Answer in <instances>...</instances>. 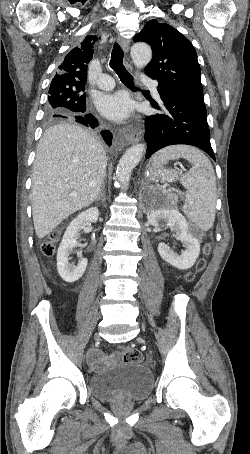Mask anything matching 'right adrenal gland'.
<instances>
[{
    "label": "right adrenal gland",
    "instance_id": "2a0ac1e0",
    "mask_svg": "<svg viewBox=\"0 0 250 454\" xmlns=\"http://www.w3.org/2000/svg\"><path fill=\"white\" fill-rule=\"evenodd\" d=\"M97 201L101 200L102 202H105V180H103L100 193L96 198Z\"/></svg>",
    "mask_w": 250,
    "mask_h": 454
}]
</instances>
